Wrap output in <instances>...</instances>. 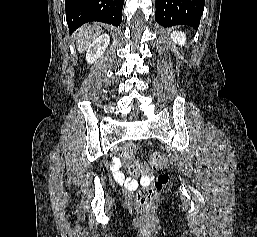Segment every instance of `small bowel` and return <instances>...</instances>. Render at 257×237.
<instances>
[{
    "label": "small bowel",
    "instance_id": "c3829d8e",
    "mask_svg": "<svg viewBox=\"0 0 257 237\" xmlns=\"http://www.w3.org/2000/svg\"><path fill=\"white\" fill-rule=\"evenodd\" d=\"M120 165H121V162L119 159H115L114 162H113V165H112V172L114 174V177L120 181V182H123L125 180V175L122 171H120ZM149 180V177L148 176H143L141 179H140V182L141 183H146L148 182Z\"/></svg>",
    "mask_w": 257,
    "mask_h": 237
}]
</instances>
